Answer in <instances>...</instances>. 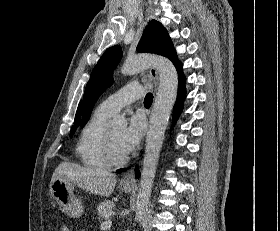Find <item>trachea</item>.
Masks as SVG:
<instances>
[{"label": "trachea", "instance_id": "3493384b", "mask_svg": "<svg viewBox=\"0 0 280 231\" xmlns=\"http://www.w3.org/2000/svg\"><path fill=\"white\" fill-rule=\"evenodd\" d=\"M152 101H153V95L152 93H148L146 96H145V99H144V105L146 108H149L152 104Z\"/></svg>", "mask_w": 280, "mask_h": 231}]
</instances>
